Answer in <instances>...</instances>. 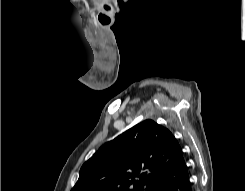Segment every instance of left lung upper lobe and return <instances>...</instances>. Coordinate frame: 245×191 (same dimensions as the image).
Wrapping results in <instances>:
<instances>
[{"label": "left lung upper lobe", "instance_id": "left-lung-upper-lobe-1", "mask_svg": "<svg viewBox=\"0 0 245 191\" xmlns=\"http://www.w3.org/2000/svg\"><path fill=\"white\" fill-rule=\"evenodd\" d=\"M181 152L167 128L144 120L100 147L71 191H152Z\"/></svg>", "mask_w": 245, "mask_h": 191}]
</instances>
